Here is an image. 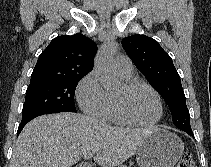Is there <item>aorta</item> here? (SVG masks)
I'll return each instance as SVG.
<instances>
[{
    "mask_svg": "<svg viewBox=\"0 0 211 167\" xmlns=\"http://www.w3.org/2000/svg\"><path fill=\"white\" fill-rule=\"evenodd\" d=\"M115 52L116 45L113 42H107L101 46L95 59V69L100 74L103 88L107 91L118 84V79L112 67V59Z\"/></svg>",
    "mask_w": 211,
    "mask_h": 167,
    "instance_id": "aorta-1",
    "label": "aorta"
}]
</instances>
